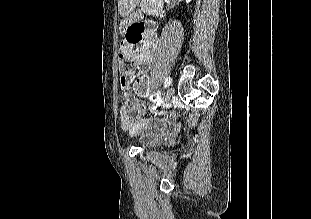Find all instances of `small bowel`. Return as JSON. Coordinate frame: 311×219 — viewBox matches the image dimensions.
I'll use <instances>...</instances> for the list:
<instances>
[{"label":"small bowel","instance_id":"small-bowel-1","mask_svg":"<svg viewBox=\"0 0 311 219\" xmlns=\"http://www.w3.org/2000/svg\"><path fill=\"white\" fill-rule=\"evenodd\" d=\"M141 29L140 37L135 42H129L126 39L120 43V52L122 55L129 56L140 69L141 79L147 84L146 72L151 64L157 45V39L150 29L144 33ZM135 45H139L140 52H136ZM132 73L127 75V84L122 86L124 104L120 109V121L122 127L130 133L142 131V138L155 141L161 136H166L174 132V127L169 119L155 123L153 130L146 120V108L140 99V94H135L129 90V83ZM149 94V91L146 95ZM156 98V97H154ZM155 110V108H152Z\"/></svg>","mask_w":311,"mask_h":219}]
</instances>
